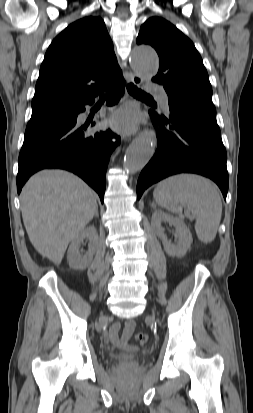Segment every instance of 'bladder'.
<instances>
[{"label":"bladder","mask_w":253,"mask_h":413,"mask_svg":"<svg viewBox=\"0 0 253 413\" xmlns=\"http://www.w3.org/2000/svg\"><path fill=\"white\" fill-rule=\"evenodd\" d=\"M113 358L118 363H130L135 360L136 352L133 350H129L126 352L115 354Z\"/></svg>","instance_id":"obj_1"}]
</instances>
